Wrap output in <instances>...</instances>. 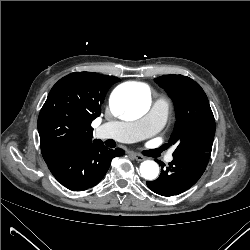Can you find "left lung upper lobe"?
I'll return each mask as SVG.
<instances>
[{
  "label": "left lung upper lobe",
  "instance_id": "1",
  "mask_svg": "<svg viewBox=\"0 0 250 250\" xmlns=\"http://www.w3.org/2000/svg\"><path fill=\"white\" fill-rule=\"evenodd\" d=\"M155 81L166 90L175 106L176 124L168 144L177 146L173 157L211 153L215 120L200 85L182 75L160 76Z\"/></svg>",
  "mask_w": 250,
  "mask_h": 250
}]
</instances>
